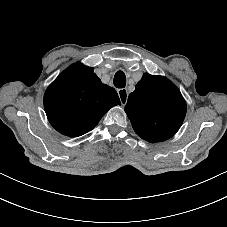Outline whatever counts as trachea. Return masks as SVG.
<instances>
[{
  "mask_svg": "<svg viewBox=\"0 0 227 227\" xmlns=\"http://www.w3.org/2000/svg\"><path fill=\"white\" fill-rule=\"evenodd\" d=\"M113 84L119 89H122L126 86V76L123 71L120 70L115 73Z\"/></svg>",
  "mask_w": 227,
  "mask_h": 227,
  "instance_id": "3493384b",
  "label": "trachea"
}]
</instances>
